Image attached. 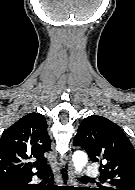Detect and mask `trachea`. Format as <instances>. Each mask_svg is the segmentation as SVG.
<instances>
[{
  "mask_svg": "<svg viewBox=\"0 0 135 190\" xmlns=\"http://www.w3.org/2000/svg\"><path fill=\"white\" fill-rule=\"evenodd\" d=\"M82 179H86V177H82Z\"/></svg>",
  "mask_w": 135,
  "mask_h": 190,
  "instance_id": "obj_1",
  "label": "trachea"
}]
</instances>
